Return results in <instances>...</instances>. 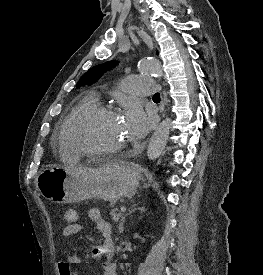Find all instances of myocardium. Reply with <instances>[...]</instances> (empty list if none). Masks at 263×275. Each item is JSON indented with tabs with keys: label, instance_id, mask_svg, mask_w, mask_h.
<instances>
[{
	"label": "myocardium",
	"instance_id": "1",
	"mask_svg": "<svg viewBox=\"0 0 263 275\" xmlns=\"http://www.w3.org/2000/svg\"><path fill=\"white\" fill-rule=\"evenodd\" d=\"M101 114H107V115H113L117 116L118 113L117 111L104 104H95L91 106L90 108L86 109L83 111L81 114H79L76 119L74 120L70 131L67 135V140L69 141L70 145L72 148L79 154L83 156H110V155H116L121 152H123L126 148V144H122L113 148H108V149H87L79 145L75 139V135L77 133L78 128L80 125L85 122L86 120L97 116Z\"/></svg>",
	"mask_w": 263,
	"mask_h": 275
}]
</instances>
